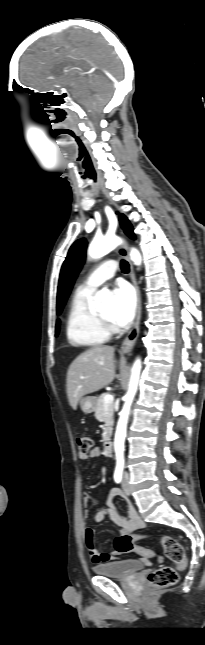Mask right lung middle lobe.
I'll use <instances>...</instances> for the list:
<instances>
[{
    "instance_id": "dd1d6c3e",
    "label": "right lung middle lobe",
    "mask_w": 205,
    "mask_h": 645,
    "mask_svg": "<svg viewBox=\"0 0 205 645\" xmlns=\"http://www.w3.org/2000/svg\"><path fill=\"white\" fill-rule=\"evenodd\" d=\"M58 332H59V320L57 321V324H56V334H55V336L58 335Z\"/></svg>"
}]
</instances>
